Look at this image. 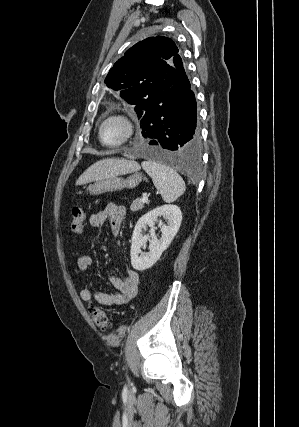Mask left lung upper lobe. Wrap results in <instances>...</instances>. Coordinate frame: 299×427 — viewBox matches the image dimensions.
<instances>
[{
	"label": "left lung upper lobe",
	"instance_id": "left-lung-upper-lobe-1",
	"mask_svg": "<svg viewBox=\"0 0 299 427\" xmlns=\"http://www.w3.org/2000/svg\"><path fill=\"white\" fill-rule=\"evenodd\" d=\"M178 48L163 36L149 37L129 48L110 69L105 84L129 104L135 105L138 118L155 104L178 76L173 58Z\"/></svg>",
	"mask_w": 299,
	"mask_h": 427
}]
</instances>
